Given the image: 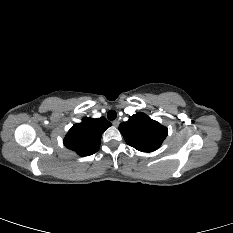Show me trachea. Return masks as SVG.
I'll use <instances>...</instances> for the list:
<instances>
[{
    "label": "trachea",
    "mask_w": 233,
    "mask_h": 233,
    "mask_svg": "<svg viewBox=\"0 0 233 233\" xmlns=\"http://www.w3.org/2000/svg\"><path fill=\"white\" fill-rule=\"evenodd\" d=\"M116 117H117V113H116V111H114V110H110L108 113H107V118L109 119V120H115L116 119Z\"/></svg>",
    "instance_id": "1"
}]
</instances>
